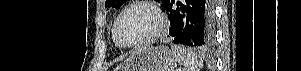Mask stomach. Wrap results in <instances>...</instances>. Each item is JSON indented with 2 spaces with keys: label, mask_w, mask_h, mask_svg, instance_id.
I'll return each mask as SVG.
<instances>
[{
  "label": "stomach",
  "mask_w": 301,
  "mask_h": 71,
  "mask_svg": "<svg viewBox=\"0 0 301 71\" xmlns=\"http://www.w3.org/2000/svg\"><path fill=\"white\" fill-rule=\"evenodd\" d=\"M177 62L169 48L148 46L129 56L117 71H174Z\"/></svg>",
  "instance_id": "0dacf381"
}]
</instances>
